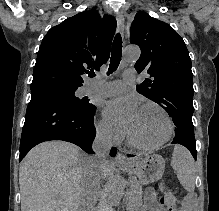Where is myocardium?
Returning a JSON list of instances; mask_svg holds the SVG:
<instances>
[{"label":"myocardium","instance_id":"obj_1","mask_svg":"<svg viewBox=\"0 0 219 211\" xmlns=\"http://www.w3.org/2000/svg\"><path fill=\"white\" fill-rule=\"evenodd\" d=\"M155 107L157 109H159L165 116L166 120H167V132L165 134V136L158 142L153 143V144H143V143H139L137 141H135L130 134L128 133L127 129L125 130L124 134H125V138L127 140V142L136 148L139 149H157L159 147H161L162 145H164L165 143H167L170 138L173 135L174 132V124H173V120L171 118V115L169 114V112L160 104L153 102V101H147L144 102L143 104H141L140 108H145V107Z\"/></svg>","mask_w":219,"mask_h":211}]
</instances>
